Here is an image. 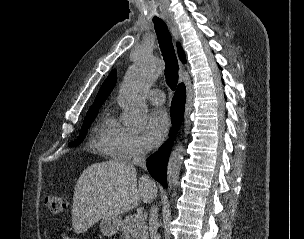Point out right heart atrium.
Segmentation results:
<instances>
[{
  "label": "right heart atrium",
  "instance_id": "obj_1",
  "mask_svg": "<svg viewBox=\"0 0 304 239\" xmlns=\"http://www.w3.org/2000/svg\"><path fill=\"white\" fill-rule=\"evenodd\" d=\"M108 145L115 157L125 161L141 156L147 151L142 137L119 123H116Z\"/></svg>",
  "mask_w": 304,
  "mask_h": 239
}]
</instances>
